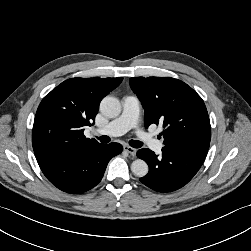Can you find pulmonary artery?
<instances>
[{"label": "pulmonary artery", "mask_w": 251, "mask_h": 251, "mask_svg": "<svg viewBox=\"0 0 251 251\" xmlns=\"http://www.w3.org/2000/svg\"><path fill=\"white\" fill-rule=\"evenodd\" d=\"M140 101L135 95H125L122 98V114L111 121L105 127L97 129L96 134L119 136L132 128H136L139 123ZM141 141L148 145L156 153H160L163 142L153 138L150 134L141 130L137 131Z\"/></svg>", "instance_id": "1"}]
</instances>
